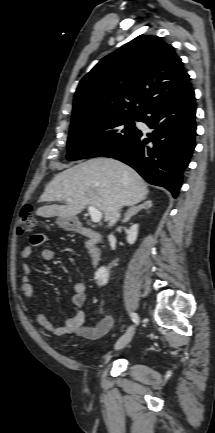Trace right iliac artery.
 Listing matches in <instances>:
<instances>
[{
    "label": "right iliac artery",
    "instance_id": "1",
    "mask_svg": "<svg viewBox=\"0 0 215 433\" xmlns=\"http://www.w3.org/2000/svg\"><path fill=\"white\" fill-rule=\"evenodd\" d=\"M130 316H131L133 322H135L136 324H138V322H139V317H138V315H137L136 313H134V312H131V313H130Z\"/></svg>",
    "mask_w": 215,
    "mask_h": 433
}]
</instances>
